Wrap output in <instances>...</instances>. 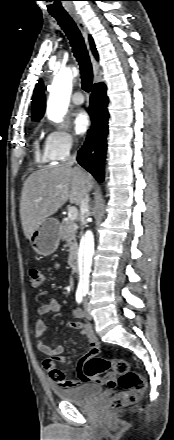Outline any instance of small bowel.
Listing matches in <instances>:
<instances>
[{
	"mask_svg": "<svg viewBox=\"0 0 174 440\" xmlns=\"http://www.w3.org/2000/svg\"><path fill=\"white\" fill-rule=\"evenodd\" d=\"M54 268H58V264L54 265ZM61 309V305L59 301L55 298H51L47 303L41 305L37 312L39 315H45L49 313H56ZM76 315L80 318L83 317L82 313L80 311H75ZM68 328L70 329H78L80 330V333L85 337L88 343V351L86 354L79 360L76 374L77 379H68L65 375V373L56 368L55 366V360L59 362H65L66 357L63 355L64 347L62 345H58L55 347H51L47 345L42 337L46 331V324L45 322L38 318L34 322V329H35V335L37 339V347L39 351L50 357V359L45 360L44 367L48 374L50 375L51 379L58 385L66 388H72L76 387L78 385H81L85 382H100L99 379L93 378L88 379L84 374V364L87 360V358L91 355H94L99 352L100 350V343L94 334L93 328L90 323L88 322H71L68 324Z\"/></svg>",
	"mask_w": 174,
	"mask_h": 440,
	"instance_id": "1",
	"label": "small bowel"
}]
</instances>
